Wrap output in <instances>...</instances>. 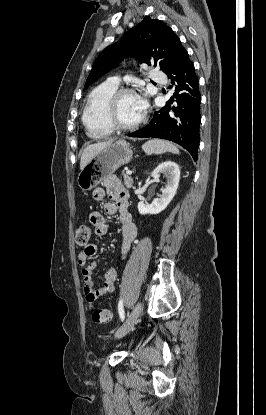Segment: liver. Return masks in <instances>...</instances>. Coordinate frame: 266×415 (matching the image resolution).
<instances>
[{
    "mask_svg": "<svg viewBox=\"0 0 266 415\" xmlns=\"http://www.w3.org/2000/svg\"><path fill=\"white\" fill-rule=\"evenodd\" d=\"M113 141L114 140L111 139L87 146L81 155L80 169L82 170L97 155L98 152L112 144Z\"/></svg>",
    "mask_w": 266,
    "mask_h": 415,
    "instance_id": "liver-1",
    "label": "liver"
}]
</instances>
